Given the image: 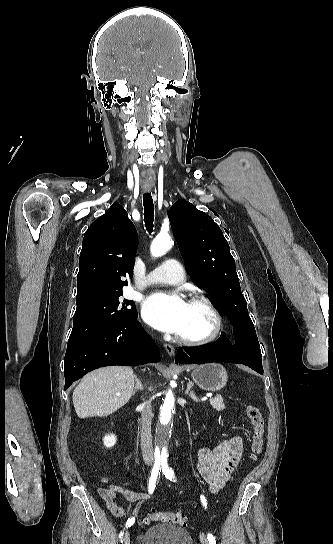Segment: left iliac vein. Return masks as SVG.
Returning <instances> with one entry per match:
<instances>
[{"label":"left iliac vein","mask_w":333,"mask_h":544,"mask_svg":"<svg viewBox=\"0 0 333 544\" xmlns=\"http://www.w3.org/2000/svg\"><path fill=\"white\" fill-rule=\"evenodd\" d=\"M200 541H201V544H209V541L207 540V538L205 537L203 533L200 534Z\"/></svg>","instance_id":"4c4485c4"}]
</instances>
